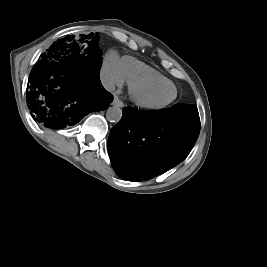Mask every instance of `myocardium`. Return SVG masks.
Segmentation results:
<instances>
[{"label": "myocardium", "instance_id": "f54148a6", "mask_svg": "<svg viewBox=\"0 0 267 267\" xmlns=\"http://www.w3.org/2000/svg\"><path fill=\"white\" fill-rule=\"evenodd\" d=\"M158 85H170L173 87L174 89V96L172 97V99H170L169 101L165 102V103H160V104H154V103H150L145 101L141 95L140 92L148 87H152V86H158ZM129 93H130V97L133 100V102L142 107V108H146V109H163L166 108L167 106H169L170 104H172L178 96V90L177 87L171 82V81H156V80H147V81H140L134 84H131L129 87Z\"/></svg>", "mask_w": 267, "mask_h": 267}]
</instances>
